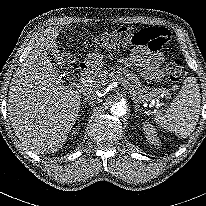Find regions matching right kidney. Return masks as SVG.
Wrapping results in <instances>:
<instances>
[{
	"mask_svg": "<svg viewBox=\"0 0 206 206\" xmlns=\"http://www.w3.org/2000/svg\"><path fill=\"white\" fill-rule=\"evenodd\" d=\"M76 130H77V128H75ZM72 134H75V131H73V133Z\"/></svg>",
	"mask_w": 206,
	"mask_h": 206,
	"instance_id": "1",
	"label": "right kidney"
}]
</instances>
